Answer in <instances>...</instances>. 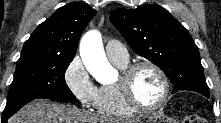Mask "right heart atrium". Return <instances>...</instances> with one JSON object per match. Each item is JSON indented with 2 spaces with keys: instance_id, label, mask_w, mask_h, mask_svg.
I'll return each instance as SVG.
<instances>
[{
  "instance_id": "right-heart-atrium-1",
  "label": "right heart atrium",
  "mask_w": 221,
  "mask_h": 123,
  "mask_svg": "<svg viewBox=\"0 0 221 123\" xmlns=\"http://www.w3.org/2000/svg\"><path fill=\"white\" fill-rule=\"evenodd\" d=\"M64 80L68 89L84 108L96 107L99 88L92 81L79 57H74L68 64Z\"/></svg>"
}]
</instances>
